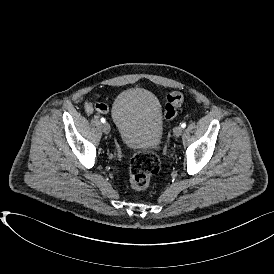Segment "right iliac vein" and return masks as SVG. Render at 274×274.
Returning <instances> with one entry per match:
<instances>
[{
	"label": "right iliac vein",
	"instance_id": "obj_1",
	"mask_svg": "<svg viewBox=\"0 0 274 274\" xmlns=\"http://www.w3.org/2000/svg\"><path fill=\"white\" fill-rule=\"evenodd\" d=\"M102 130H103L104 133L108 134L111 130V127H110L109 123L105 122L102 125Z\"/></svg>",
	"mask_w": 274,
	"mask_h": 274
}]
</instances>
